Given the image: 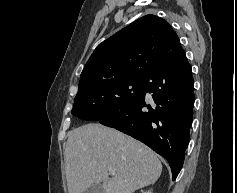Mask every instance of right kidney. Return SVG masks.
<instances>
[{"instance_id": "obj_1", "label": "right kidney", "mask_w": 237, "mask_h": 193, "mask_svg": "<svg viewBox=\"0 0 237 193\" xmlns=\"http://www.w3.org/2000/svg\"><path fill=\"white\" fill-rule=\"evenodd\" d=\"M142 193H152L151 191H145V192H142Z\"/></svg>"}]
</instances>
